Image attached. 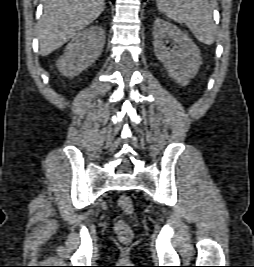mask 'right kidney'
Here are the masks:
<instances>
[{
  "mask_svg": "<svg viewBox=\"0 0 254 267\" xmlns=\"http://www.w3.org/2000/svg\"><path fill=\"white\" fill-rule=\"evenodd\" d=\"M105 43L103 27L94 25L80 32L58 59V70L67 77L79 75L101 55Z\"/></svg>",
  "mask_w": 254,
  "mask_h": 267,
  "instance_id": "1",
  "label": "right kidney"
}]
</instances>
